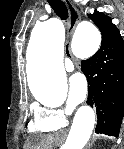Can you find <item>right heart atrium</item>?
<instances>
[{
  "label": "right heart atrium",
  "mask_w": 124,
  "mask_h": 149,
  "mask_svg": "<svg viewBox=\"0 0 124 149\" xmlns=\"http://www.w3.org/2000/svg\"><path fill=\"white\" fill-rule=\"evenodd\" d=\"M36 114V119L46 121L53 127L61 128L66 123L68 111L64 109L40 108Z\"/></svg>",
  "instance_id": "right-heart-atrium-1"
}]
</instances>
